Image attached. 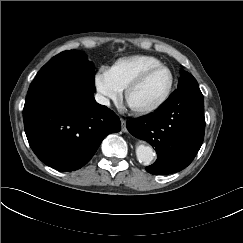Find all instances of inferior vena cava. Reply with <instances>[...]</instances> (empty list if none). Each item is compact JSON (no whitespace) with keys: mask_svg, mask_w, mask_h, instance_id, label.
Listing matches in <instances>:
<instances>
[{"mask_svg":"<svg viewBox=\"0 0 243 243\" xmlns=\"http://www.w3.org/2000/svg\"><path fill=\"white\" fill-rule=\"evenodd\" d=\"M95 99L97 101V103L101 104V105H105V106H110V101L108 98L104 97L101 94H96L95 95Z\"/></svg>","mask_w":243,"mask_h":243,"instance_id":"inferior-vena-cava-1","label":"inferior vena cava"}]
</instances>
